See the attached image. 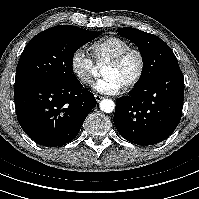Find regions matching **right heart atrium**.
Segmentation results:
<instances>
[{
    "mask_svg": "<svg viewBox=\"0 0 199 199\" xmlns=\"http://www.w3.org/2000/svg\"><path fill=\"white\" fill-rule=\"evenodd\" d=\"M70 68L78 81L87 85L91 82L94 73V61L85 48H77L70 58Z\"/></svg>",
    "mask_w": 199,
    "mask_h": 199,
    "instance_id": "d8ad5b80",
    "label": "right heart atrium"
}]
</instances>
